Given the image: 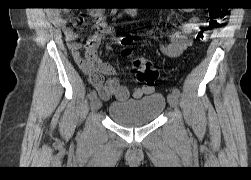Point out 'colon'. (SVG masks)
Returning a JSON list of instances; mask_svg holds the SVG:
<instances>
[{"label": "colon", "instance_id": "5ec220e1", "mask_svg": "<svg viewBox=\"0 0 251 180\" xmlns=\"http://www.w3.org/2000/svg\"><path fill=\"white\" fill-rule=\"evenodd\" d=\"M226 18V9H210L208 13V20L197 32L196 38L201 41L205 40L208 32L215 27L221 26L225 22ZM120 42L123 46H125L122 54L125 57L131 56V50L128 48L132 42L131 37H122ZM133 67L136 71L137 79L140 82L146 85H154L158 78V71L150 60L145 58H137L133 62Z\"/></svg>", "mask_w": 251, "mask_h": 180}]
</instances>
